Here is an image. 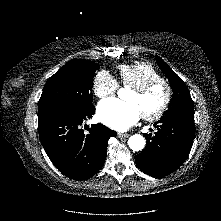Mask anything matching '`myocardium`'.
<instances>
[{
    "instance_id": "f54148a6",
    "label": "myocardium",
    "mask_w": 221,
    "mask_h": 221,
    "mask_svg": "<svg viewBox=\"0 0 221 221\" xmlns=\"http://www.w3.org/2000/svg\"><path fill=\"white\" fill-rule=\"evenodd\" d=\"M161 86L165 91V97L161 104V106L152 113H144L142 114V118L147 121H154L161 118L165 112L167 111L171 100H172V88L168 81L163 78H158L154 80H150L142 85L133 87V91H135L138 95H146L154 88Z\"/></svg>"
}]
</instances>
